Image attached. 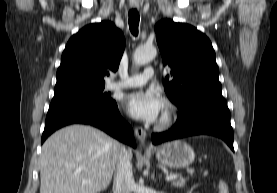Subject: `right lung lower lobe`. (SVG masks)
I'll use <instances>...</instances> for the list:
<instances>
[{"label":"right lung lower lobe","instance_id":"right-lung-lower-lobe-1","mask_svg":"<svg viewBox=\"0 0 277 193\" xmlns=\"http://www.w3.org/2000/svg\"><path fill=\"white\" fill-rule=\"evenodd\" d=\"M73 123L95 126L136 147L133 130L121 117L115 101L102 104L86 98L59 95H54L49 106L41 143L57 129Z\"/></svg>","mask_w":277,"mask_h":193}]
</instances>
